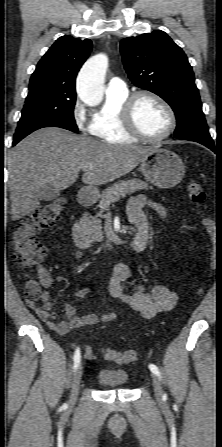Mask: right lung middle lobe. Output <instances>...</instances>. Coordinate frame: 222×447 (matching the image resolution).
<instances>
[{
	"mask_svg": "<svg viewBox=\"0 0 222 447\" xmlns=\"http://www.w3.org/2000/svg\"><path fill=\"white\" fill-rule=\"evenodd\" d=\"M75 102V95L55 92L50 86L30 87L14 141H20L31 132L43 127H60L77 131L73 115Z\"/></svg>",
	"mask_w": 222,
	"mask_h": 447,
	"instance_id": "dd1d6c3e",
	"label": "right lung middle lobe"
}]
</instances>
